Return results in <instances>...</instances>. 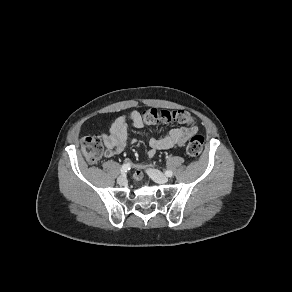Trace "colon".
Listing matches in <instances>:
<instances>
[{
    "label": "colon",
    "instance_id": "5ec220e1",
    "mask_svg": "<svg viewBox=\"0 0 292 292\" xmlns=\"http://www.w3.org/2000/svg\"><path fill=\"white\" fill-rule=\"evenodd\" d=\"M142 116L148 123L163 122H178L185 123L193 120L189 117L186 111L183 110H157L147 109L142 112ZM82 152L89 163L97 162L103 155L102 137L100 135L86 136L80 141ZM204 146V139L201 135L193 136L186 146L187 154L192 158H197L201 155Z\"/></svg>",
    "mask_w": 292,
    "mask_h": 292
}]
</instances>
